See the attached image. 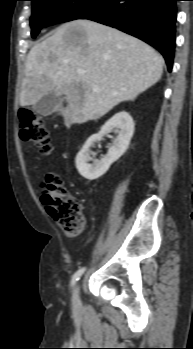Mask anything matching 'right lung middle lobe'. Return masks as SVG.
Returning a JSON list of instances; mask_svg holds the SVG:
<instances>
[{
    "instance_id": "1",
    "label": "right lung middle lobe",
    "mask_w": 193,
    "mask_h": 349,
    "mask_svg": "<svg viewBox=\"0 0 193 349\" xmlns=\"http://www.w3.org/2000/svg\"><path fill=\"white\" fill-rule=\"evenodd\" d=\"M31 35L36 37L39 31L57 23L79 19L100 0H31Z\"/></svg>"
}]
</instances>
